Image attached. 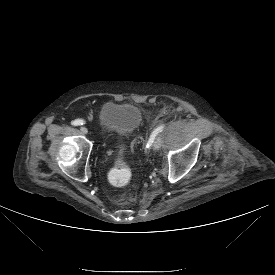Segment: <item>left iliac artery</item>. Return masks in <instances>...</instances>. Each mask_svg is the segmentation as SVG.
Instances as JSON below:
<instances>
[{"mask_svg":"<svg viewBox=\"0 0 275 275\" xmlns=\"http://www.w3.org/2000/svg\"><path fill=\"white\" fill-rule=\"evenodd\" d=\"M165 125H160L158 126L152 133H151V136H150V139L148 141V144L147 146H149V144H151L153 142V140L155 139V137L163 131Z\"/></svg>","mask_w":275,"mask_h":275,"instance_id":"obj_1","label":"left iliac artery"}]
</instances>
